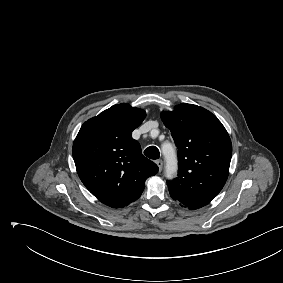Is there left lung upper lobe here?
Segmentation results:
<instances>
[{"mask_svg":"<svg viewBox=\"0 0 283 283\" xmlns=\"http://www.w3.org/2000/svg\"><path fill=\"white\" fill-rule=\"evenodd\" d=\"M161 118L178 147V176L167 181L170 196L182 207L199 209L225 185L232 157L230 137L215 115L197 105L180 104L163 111Z\"/></svg>","mask_w":283,"mask_h":283,"instance_id":"left-lung-upper-lobe-1","label":"left lung upper lobe"}]
</instances>
